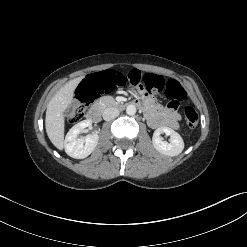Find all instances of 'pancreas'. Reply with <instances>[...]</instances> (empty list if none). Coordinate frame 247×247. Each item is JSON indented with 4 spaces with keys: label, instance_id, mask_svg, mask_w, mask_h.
Wrapping results in <instances>:
<instances>
[{
    "label": "pancreas",
    "instance_id": "pancreas-1",
    "mask_svg": "<svg viewBox=\"0 0 247 247\" xmlns=\"http://www.w3.org/2000/svg\"><path fill=\"white\" fill-rule=\"evenodd\" d=\"M105 103H106V98H105V97H103L102 99H100V101H99L98 105H99V106H104V105H105Z\"/></svg>",
    "mask_w": 247,
    "mask_h": 247
}]
</instances>
